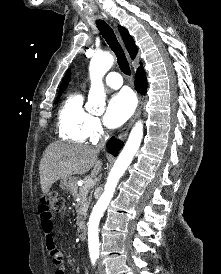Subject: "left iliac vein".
Wrapping results in <instances>:
<instances>
[{
	"label": "left iliac vein",
	"instance_id": "obj_1",
	"mask_svg": "<svg viewBox=\"0 0 221 274\" xmlns=\"http://www.w3.org/2000/svg\"><path fill=\"white\" fill-rule=\"evenodd\" d=\"M98 274H105V269L102 263L98 265Z\"/></svg>",
	"mask_w": 221,
	"mask_h": 274
}]
</instances>
